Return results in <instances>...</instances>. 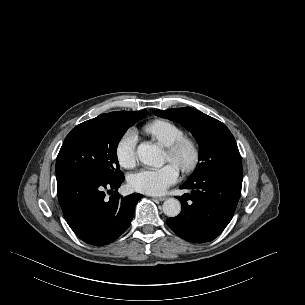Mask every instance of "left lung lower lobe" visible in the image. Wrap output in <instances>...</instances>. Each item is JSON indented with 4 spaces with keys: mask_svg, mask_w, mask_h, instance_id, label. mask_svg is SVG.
<instances>
[{
    "mask_svg": "<svg viewBox=\"0 0 305 305\" xmlns=\"http://www.w3.org/2000/svg\"><path fill=\"white\" fill-rule=\"evenodd\" d=\"M242 180L241 163L226 164L187 180L180 189H190L191 194L177 196L182 203L181 213L168 218L167 225L187 241H212L233 217Z\"/></svg>",
    "mask_w": 305,
    "mask_h": 305,
    "instance_id": "obj_1",
    "label": "left lung lower lobe"
}]
</instances>
